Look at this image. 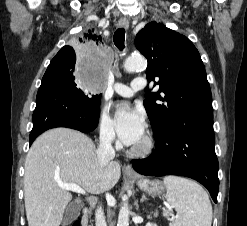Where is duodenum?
<instances>
[{
  "instance_id": "1",
  "label": "duodenum",
  "mask_w": 247,
  "mask_h": 226,
  "mask_svg": "<svg viewBox=\"0 0 247 226\" xmlns=\"http://www.w3.org/2000/svg\"><path fill=\"white\" fill-rule=\"evenodd\" d=\"M89 215H90V209L88 207H84L81 211L82 226H87Z\"/></svg>"
}]
</instances>
